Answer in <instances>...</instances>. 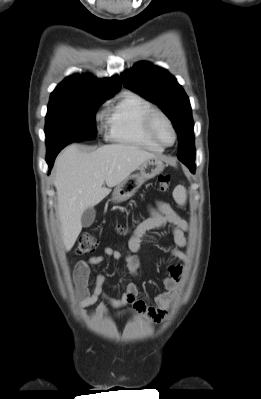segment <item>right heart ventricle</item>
<instances>
[{
    "label": "right heart ventricle",
    "instance_id": "1",
    "mask_svg": "<svg viewBox=\"0 0 261 399\" xmlns=\"http://www.w3.org/2000/svg\"><path fill=\"white\" fill-rule=\"evenodd\" d=\"M152 108V104L141 95L134 92L123 93L107 111V138L150 151H163L164 148L148 136L144 127L145 116Z\"/></svg>",
    "mask_w": 261,
    "mask_h": 399
}]
</instances>
